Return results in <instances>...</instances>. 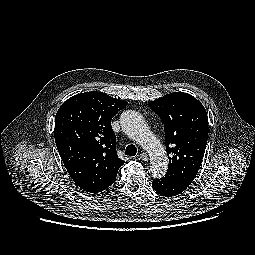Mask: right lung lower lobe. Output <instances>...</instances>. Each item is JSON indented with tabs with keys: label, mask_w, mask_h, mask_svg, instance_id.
Listing matches in <instances>:
<instances>
[{
	"label": "right lung lower lobe",
	"mask_w": 255,
	"mask_h": 255,
	"mask_svg": "<svg viewBox=\"0 0 255 255\" xmlns=\"http://www.w3.org/2000/svg\"><path fill=\"white\" fill-rule=\"evenodd\" d=\"M113 183H114V181L111 182L110 184L106 185V186H103V187H100V188H96V189H91V190H88L87 192H89V193H98V192H101V191L105 190L106 188H108Z\"/></svg>",
	"instance_id": "1"
}]
</instances>
